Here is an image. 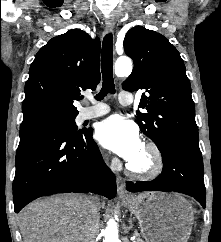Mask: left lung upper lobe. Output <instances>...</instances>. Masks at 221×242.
I'll use <instances>...</instances> for the list:
<instances>
[{"label":"left lung upper lobe","instance_id":"obj_1","mask_svg":"<svg viewBox=\"0 0 221 242\" xmlns=\"http://www.w3.org/2000/svg\"><path fill=\"white\" fill-rule=\"evenodd\" d=\"M125 53L134 61L123 89H145L137 112L141 131L162 150L173 138L198 141L195 104L185 65L176 48L160 33L142 26L131 28L124 39Z\"/></svg>","mask_w":221,"mask_h":242}]
</instances>
